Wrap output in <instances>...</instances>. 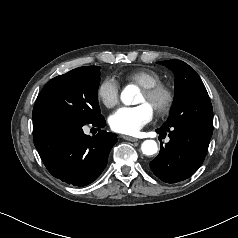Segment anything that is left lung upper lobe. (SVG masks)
Wrapping results in <instances>:
<instances>
[{"label": "left lung upper lobe", "mask_w": 238, "mask_h": 238, "mask_svg": "<svg viewBox=\"0 0 238 238\" xmlns=\"http://www.w3.org/2000/svg\"><path fill=\"white\" fill-rule=\"evenodd\" d=\"M175 75V99L161 129L184 126L213 132V109L207 90L195 70L181 60L158 62Z\"/></svg>", "instance_id": "5c2ea615"}]
</instances>
